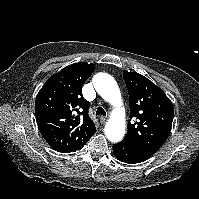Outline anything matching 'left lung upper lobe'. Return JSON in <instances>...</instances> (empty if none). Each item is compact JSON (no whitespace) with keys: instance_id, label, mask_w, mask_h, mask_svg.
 I'll use <instances>...</instances> for the list:
<instances>
[{"instance_id":"left-lung-upper-lobe-1","label":"left lung upper lobe","mask_w":199,"mask_h":199,"mask_svg":"<svg viewBox=\"0 0 199 199\" xmlns=\"http://www.w3.org/2000/svg\"><path fill=\"white\" fill-rule=\"evenodd\" d=\"M123 77L130 103V120L123 141L152 156L169 136L173 104L161 88L143 75L123 71Z\"/></svg>"}]
</instances>
